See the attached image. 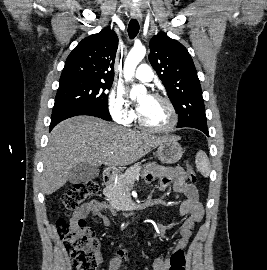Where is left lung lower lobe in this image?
Returning a JSON list of instances; mask_svg holds the SVG:
<instances>
[{
	"label": "left lung lower lobe",
	"mask_w": 267,
	"mask_h": 270,
	"mask_svg": "<svg viewBox=\"0 0 267 270\" xmlns=\"http://www.w3.org/2000/svg\"><path fill=\"white\" fill-rule=\"evenodd\" d=\"M186 127H192V128L199 129L202 132H204L207 136H209L207 126H203V125H199V124H193V125H189V126H186Z\"/></svg>",
	"instance_id": "0a47b994"
}]
</instances>
